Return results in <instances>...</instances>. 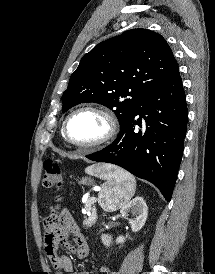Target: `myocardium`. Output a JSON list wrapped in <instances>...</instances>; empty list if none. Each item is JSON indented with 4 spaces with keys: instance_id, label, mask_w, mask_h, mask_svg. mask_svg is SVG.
Returning a JSON list of instances; mask_svg holds the SVG:
<instances>
[{
    "instance_id": "1",
    "label": "myocardium",
    "mask_w": 215,
    "mask_h": 274,
    "mask_svg": "<svg viewBox=\"0 0 215 274\" xmlns=\"http://www.w3.org/2000/svg\"><path fill=\"white\" fill-rule=\"evenodd\" d=\"M84 111H90V112H94L98 115H100L101 117L104 118L106 125H107V130L105 132V134L90 143H78L75 142L74 140H72L69 136L68 133V125L70 120L73 118V116H75L76 114L80 113V112H84ZM119 131V123L118 120L115 116V114L110 111L107 108L101 107V106H97V105H84L81 107L76 108L75 110H73L72 112H70L68 114V116L65 118L64 123H63V128H62V133H63V137L65 138V140L78 148H82V149H96V148H100L106 144H108L109 142H111L116 135L118 134Z\"/></svg>"
}]
</instances>
